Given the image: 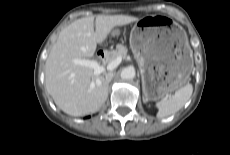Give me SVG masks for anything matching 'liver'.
Listing matches in <instances>:
<instances>
[{"mask_svg": "<svg viewBox=\"0 0 230 155\" xmlns=\"http://www.w3.org/2000/svg\"><path fill=\"white\" fill-rule=\"evenodd\" d=\"M78 19L61 30L45 63V85L55 104L72 116L98 111L108 97L104 74L95 75L73 59H91L116 26L138 20L128 15H98Z\"/></svg>", "mask_w": 230, "mask_h": 155, "instance_id": "liver-1", "label": "liver"}]
</instances>
